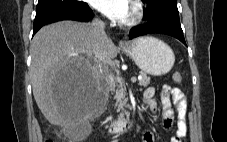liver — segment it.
Segmentation results:
<instances>
[{
	"label": "liver",
	"instance_id": "obj_1",
	"mask_svg": "<svg viewBox=\"0 0 227 142\" xmlns=\"http://www.w3.org/2000/svg\"><path fill=\"white\" fill-rule=\"evenodd\" d=\"M30 53L35 101L51 124L67 127L81 116L80 101L89 90L87 83L91 81L99 88V80L102 74H108L117 48L107 36L95 40L90 24L61 21L35 34ZM89 56H93L94 66ZM65 65L82 68V78H54V73H61ZM67 80H74L73 88H66Z\"/></svg>",
	"mask_w": 227,
	"mask_h": 142
}]
</instances>
